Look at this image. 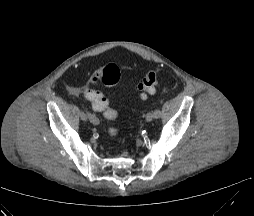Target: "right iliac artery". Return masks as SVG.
Wrapping results in <instances>:
<instances>
[{"label": "right iliac artery", "instance_id": "obj_1", "mask_svg": "<svg viewBox=\"0 0 254 216\" xmlns=\"http://www.w3.org/2000/svg\"><path fill=\"white\" fill-rule=\"evenodd\" d=\"M82 108L86 111L91 123H93L95 125H98L100 123V120L94 114L89 112L83 105H82Z\"/></svg>", "mask_w": 254, "mask_h": 216}]
</instances>
